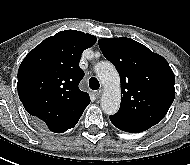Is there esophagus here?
I'll return each instance as SVG.
<instances>
[{
	"label": "esophagus",
	"mask_w": 190,
	"mask_h": 165,
	"mask_svg": "<svg viewBox=\"0 0 190 165\" xmlns=\"http://www.w3.org/2000/svg\"><path fill=\"white\" fill-rule=\"evenodd\" d=\"M101 95H102V90H101V89H100V90H97V91L95 92V96H96L97 98H99Z\"/></svg>",
	"instance_id": "esophagus-1"
}]
</instances>
